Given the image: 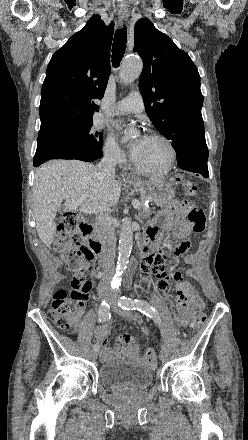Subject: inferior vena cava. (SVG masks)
<instances>
[{
  "mask_svg": "<svg viewBox=\"0 0 248 440\" xmlns=\"http://www.w3.org/2000/svg\"><path fill=\"white\" fill-rule=\"evenodd\" d=\"M116 160L117 155L114 152H106L102 160L97 165L98 170L105 176L115 175ZM96 225L102 231L105 239V248L100 262L105 273L103 283L108 285L114 272L116 247L115 229L110 222L109 216L103 213L97 217Z\"/></svg>",
  "mask_w": 248,
  "mask_h": 440,
  "instance_id": "1",
  "label": "inferior vena cava"
}]
</instances>
